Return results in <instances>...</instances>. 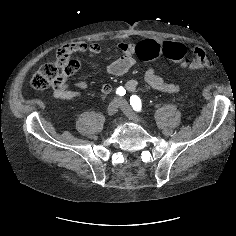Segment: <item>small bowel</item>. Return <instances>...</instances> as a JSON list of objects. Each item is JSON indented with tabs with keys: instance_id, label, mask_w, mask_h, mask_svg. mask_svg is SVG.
I'll return each instance as SVG.
<instances>
[{
	"instance_id": "obj_1",
	"label": "small bowel",
	"mask_w": 236,
	"mask_h": 236,
	"mask_svg": "<svg viewBox=\"0 0 236 236\" xmlns=\"http://www.w3.org/2000/svg\"><path fill=\"white\" fill-rule=\"evenodd\" d=\"M151 42L154 44H160L152 39H147L142 42ZM120 42L118 44L119 49L123 52L122 57L110 63L107 66V72L111 75L120 76L127 73L136 63L135 55L138 46L142 43ZM71 55L91 53L98 54L100 52V45L96 42L86 43L82 41L72 42L63 47ZM82 65L80 59H73L67 72L64 74L63 80L53 87L52 95L56 99H72L84 94L88 90V84L83 80L70 82V77L77 72ZM146 83L153 89L165 92V93H179L181 86L175 83L167 82L160 77L155 68L149 67L144 75ZM139 87V81L132 79L126 82L125 88L128 92H133ZM112 86L110 84H104L101 87V92L105 95L110 94Z\"/></svg>"
}]
</instances>
